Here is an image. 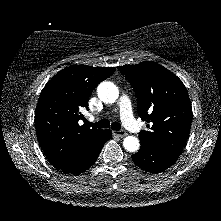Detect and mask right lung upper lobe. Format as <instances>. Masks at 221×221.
<instances>
[{
    "mask_svg": "<svg viewBox=\"0 0 221 221\" xmlns=\"http://www.w3.org/2000/svg\"><path fill=\"white\" fill-rule=\"evenodd\" d=\"M115 72L112 67L73 65L45 85L35 112L38 142L47 159L60 169L103 130L79 125L81 111L96 86Z\"/></svg>",
    "mask_w": 221,
    "mask_h": 221,
    "instance_id": "1",
    "label": "right lung upper lobe"
}]
</instances>
